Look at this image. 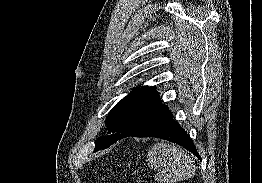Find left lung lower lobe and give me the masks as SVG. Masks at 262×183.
<instances>
[{"mask_svg": "<svg viewBox=\"0 0 262 183\" xmlns=\"http://www.w3.org/2000/svg\"><path fill=\"white\" fill-rule=\"evenodd\" d=\"M129 136L165 139L184 147L201 160L191 138L173 119V115L166 105H161L144 126Z\"/></svg>", "mask_w": 262, "mask_h": 183, "instance_id": "left-lung-lower-lobe-1", "label": "left lung lower lobe"}]
</instances>
